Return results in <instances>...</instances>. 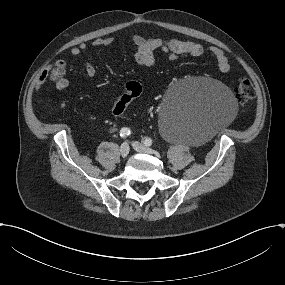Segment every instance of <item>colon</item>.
Here are the masks:
<instances>
[{
    "instance_id": "colon-1",
    "label": "colon",
    "mask_w": 285,
    "mask_h": 285,
    "mask_svg": "<svg viewBox=\"0 0 285 285\" xmlns=\"http://www.w3.org/2000/svg\"><path fill=\"white\" fill-rule=\"evenodd\" d=\"M63 73V64L58 63L54 66L51 76L54 79L59 78ZM142 93V85L137 81H128L124 85V92L113 106L114 116L122 115L128 105ZM235 96L239 104L245 105L255 96L253 84L247 80H241L235 90Z\"/></svg>"
}]
</instances>
